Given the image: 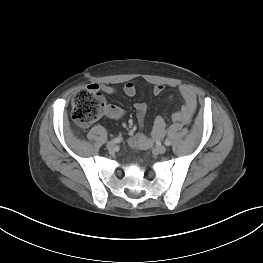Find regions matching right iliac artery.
Returning <instances> with one entry per match:
<instances>
[{
	"label": "right iliac artery",
	"instance_id": "1",
	"mask_svg": "<svg viewBox=\"0 0 263 263\" xmlns=\"http://www.w3.org/2000/svg\"><path fill=\"white\" fill-rule=\"evenodd\" d=\"M112 141H113L114 143H119V142L122 141V137L114 138V139H112Z\"/></svg>",
	"mask_w": 263,
	"mask_h": 263
}]
</instances>
